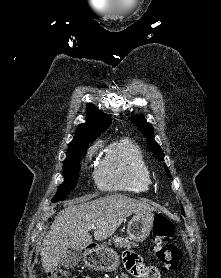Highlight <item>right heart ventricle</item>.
Wrapping results in <instances>:
<instances>
[{"instance_id":"obj_1","label":"right heart ventricle","mask_w":221,"mask_h":278,"mask_svg":"<svg viewBox=\"0 0 221 278\" xmlns=\"http://www.w3.org/2000/svg\"><path fill=\"white\" fill-rule=\"evenodd\" d=\"M98 187L104 191L133 194L147 192L152 184L149 165L141 148L129 139L110 144L95 171Z\"/></svg>"}]
</instances>
